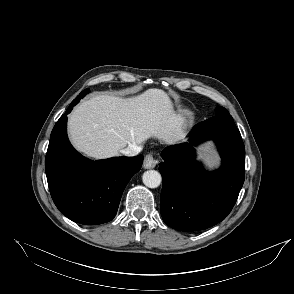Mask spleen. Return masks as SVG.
<instances>
[{"label": "spleen", "instance_id": "1", "mask_svg": "<svg viewBox=\"0 0 294 294\" xmlns=\"http://www.w3.org/2000/svg\"><path fill=\"white\" fill-rule=\"evenodd\" d=\"M205 161L211 166L215 162V158L211 155H207L204 157Z\"/></svg>", "mask_w": 294, "mask_h": 294}]
</instances>
